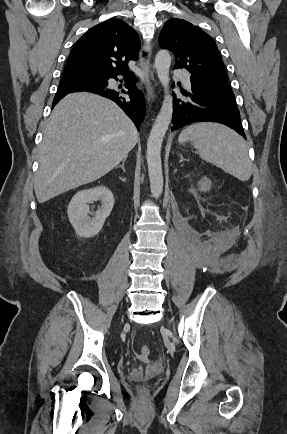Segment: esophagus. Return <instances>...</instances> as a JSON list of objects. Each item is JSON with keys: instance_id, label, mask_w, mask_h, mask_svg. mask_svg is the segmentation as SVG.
<instances>
[{"instance_id": "obj_1", "label": "esophagus", "mask_w": 287, "mask_h": 434, "mask_svg": "<svg viewBox=\"0 0 287 434\" xmlns=\"http://www.w3.org/2000/svg\"><path fill=\"white\" fill-rule=\"evenodd\" d=\"M151 56H152V45L144 44L140 52V66L146 75L147 81L149 82V75L151 73ZM154 98V88L150 87V94L147 96V100L150 101Z\"/></svg>"}]
</instances>
